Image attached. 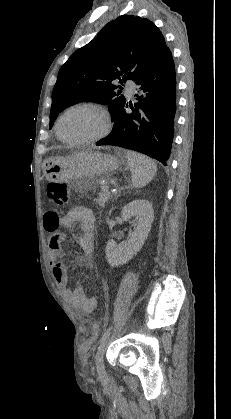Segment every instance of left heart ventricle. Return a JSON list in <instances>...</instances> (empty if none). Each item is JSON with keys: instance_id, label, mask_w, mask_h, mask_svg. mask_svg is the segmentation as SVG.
Returning a JSON list of instances; mask_svg holds the SVG:
<instances>
[{"instance_id": "b2bd125f", "label": "left heart ventricle", "mask_w": 231, "mask_h": 419, "mask_svg": "<svg viewBox=\"0 0 231 419\" xmlns=\"http://www.w3.org/2000/svg\"><path fill=\"white\" fill-rule=\"evenodd\" d=\"M103 127L99 114L78 109L66 114L60 123V132L67 139H84L98 134Z\"/></svg>"}]
</instances>
